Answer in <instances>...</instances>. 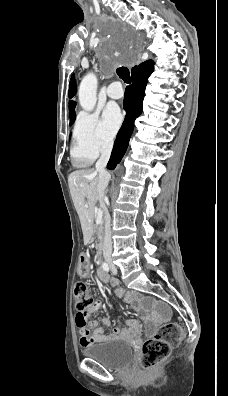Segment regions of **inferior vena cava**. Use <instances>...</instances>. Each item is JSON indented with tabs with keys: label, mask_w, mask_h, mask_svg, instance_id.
I'll return each instance as SVG.
<instances>
[{
	"label": "inferior vena cava",
	"mask_w": 228,
	"mask_h": 396,
	"mask_svg": "<svg viewBox=\"0 0 228 396\" xmlns=\"http://www.w3.org/2000/svg\"><path fill=\"white\" fill-rule=\"evenodd\" d=\"M113 148L112 141H106L101 150V156L99 160L96 162V171L99 173V182L97 185L99 195L103 202L105 189L108 186L110 175L105 170V167L109 161L111 151ZM103 255L109 256L112 253V239H111V217L108 210H105V233H104V240H103Z\"/></svg>",
	"instance_id": "obj_1"
}]
</instances>
